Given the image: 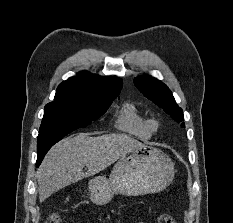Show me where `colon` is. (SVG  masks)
<instances>
[{
	"instance_id": "5ec220e1",
	"label": "colon",
	"mask_w": 233,
	"mask_h": 223,
	"mask_svg": "<svg viewBox=\"0 0 233 223\" xmlns=\"http://www.w3.org/2000/svg\"><path fill=\"white\" fill-rule=\"evenodd\" d=\"M46 223H61L60 216L57 213H52L47 218ZM159 223H176V220L168 214H163L160 216Z\"/></svg>"
}]
</instances>
